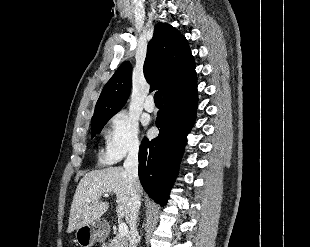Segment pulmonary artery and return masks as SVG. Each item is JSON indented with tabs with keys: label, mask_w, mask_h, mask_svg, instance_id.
<instances>
[{
	"label": "pulmonary artery",
	"mask_w": 310,
	"mask_h": 247,
	"mask_svg": "<svg viewBox=\"0 0 310 247\" xmlns=\"http://www.w3.org/2000/svg\"><path fill=\"white\" fill-rule=\"evenodd\" d=\"M144 108L148 112H153L155 110V104H154V101H153V97L149 96L146 99V101L144 103Z\"/></svg>",
	"instance_id": "e3ab8cb5"
}]
</instances>
